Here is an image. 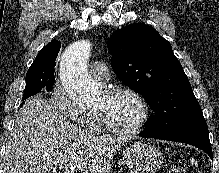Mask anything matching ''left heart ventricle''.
<instances>
[{
    "label": "left heart ventricle",
    "instance_id": "obj_1",
    "mask_svg": "<svg viewBox=\"0 0 219 173\" xmlns=\"http://www.w3.org/2000/svg\"><path fill=\"white\" fill-rule=\"evenodd\" d=\"M96 110L101 111L111 124L121 129L133 127L140 117V106L131 95L120 93L108 97L102 93Z\"/></svg>",
    "mask_w": 219,
    "mask_h": 173
}]
</instances>
